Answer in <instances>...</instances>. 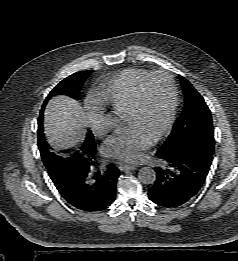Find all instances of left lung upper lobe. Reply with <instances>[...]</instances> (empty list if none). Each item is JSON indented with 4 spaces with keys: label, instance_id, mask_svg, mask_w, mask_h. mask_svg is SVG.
Here are the masks:
<instances>
[{
    "label": "left lung upper lobe",
    "instance_id": "1",
    "mask_svg": "<svg viewBox=\"0 0 238 261\" xmlns=\"http://www.w3.org/2000/svg\"><path fill=\"white\" fill-rule=\"evenodd\" d=\"M182 83L185 104L172 132L158 149V156L181 155L190 149L207 147L210 159L214 153V128L211 112L202 96L184 77Z\"/></svg>",
    "mask_w": 238,
    "mask_h": 261
}]
</instances>
